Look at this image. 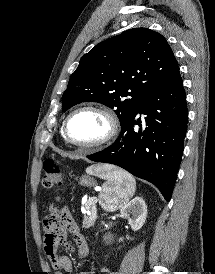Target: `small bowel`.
<instances>
[{
    "mask_svg": "<svg viewBox=\"0 0 215 274\" xmlns=\"http://www.w3.org/2000/svg\"><path fill=\"white\" fill-rule=\"evenodd\" d=\"M44 229V249L55 269V274H63L64 272L71 273L73 266L70 258L66 255H60L58 249L64 246L76 252L80 257H85L89 253V246L85 236L81 233L76 221L68 210L63 209L57 212L52 209V212L43 221ZM72 236L75 246L69 241L68 237ZM101 273H108L107 267L99 269ZM76 274H89L88 272H79Z\"/></svg>",
    "mask_w": 215,
    "mask_h": 274,
    "instance_id": "1",
    "label": "small bowel"
}]
</instances>
